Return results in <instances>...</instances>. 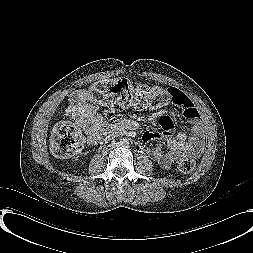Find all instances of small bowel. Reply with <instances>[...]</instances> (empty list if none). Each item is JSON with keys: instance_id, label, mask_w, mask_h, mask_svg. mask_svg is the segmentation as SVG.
<instances>
[{"instance_id": "small-bowel-1", "label": "small bowel", "mask_w": 253, "mask_h": 253, "mask_svg": "<svg viewBox=\"0 0 253 253\" xmlns=\"http://www.w3.org/2000/svg\"><path fill=\"white\" fill-rule=\"evenodd\" d=\"M170 89L176 92L173 102L182 109L184 116L192 125L175 133L169 113L164 112L157 117L162 125V132L145 131L142 134L141 139L146 144L166 142L167 151H163L159 144L148 150L149 156L163 169L170 168L175 161L185 156L198 157L204 146L197 107L187 95L174 88ZM96 111L97 107L87 91L77 90L70 95L67 112L75 119L76 125L86 133L88 142L92 145L100 144L129 124L128 122H120L109 127L104 118Z\"/></svg>"}]
</instances>
